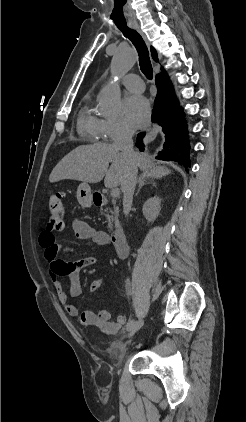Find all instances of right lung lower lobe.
Segmentation results:
<instances>
[{
	"mask_svg": "<svg viewBox=\"0 0 246 422\" xmlns=\"http://www.w3.org/2000/svg\"><path fill=\"white\" fill-rule=\"evenodd\" d=\"M157 96L154 103L152 122H158L165 134L164 144L156 157L160 160L174 161L185 168L190 167V144L184 113L179 107L168 76H156ZM145 133H139L136 146L143 151ZM188 171V169H186Z\"/></svg>",
	"mask_w": 246,
	"mask_h": 422,
	"instance_id": "98d812e1",
	"label": "right lung lower lobe"
}]
</instances>
